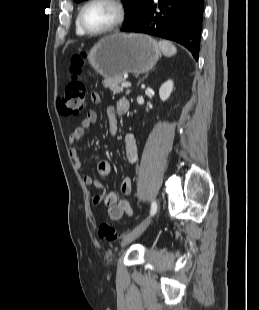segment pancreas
I'll return each mask as SVG.
<instances>
[{"mask_svg": "<svg viewBox=\"0 0 259 310\" xmlns=\"http://www.w3.org/2000/svg\"><path fill=\"white\" fill-rule=\"evenodd\" d=\"M123 77L117 78H105L103 81L104 87L110 89L114 94H119L123 91L122 87L119 86L120 83L124 82ZM130 91H127L129 93Z\"/></svg>", "mask_w": 259, "mask_h": 310, "instance_id": "pancreas-1", "label": "pancreas"}]
</instances>
